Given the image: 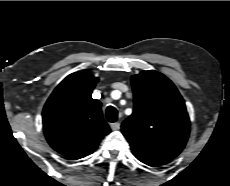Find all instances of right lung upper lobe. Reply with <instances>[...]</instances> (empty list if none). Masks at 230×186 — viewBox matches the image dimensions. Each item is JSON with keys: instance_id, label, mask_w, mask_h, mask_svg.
<instances>
[{"instance_id": "cb5924a9", "label": "right lung upper lobe", "mask_w": 230, "mask_h": 186, "mask_svg": "<svg viewBox=\"0 0 230 186\" xmlns=\"http://www.w3.org/2000/svg\"><path fill=\"white\" fill-rule=\"evenodd\" d=\"M98 78L81 72L67 76L43 109V129L50 146L69 159L91 154L110 132L101 102L91 97Z\"/></svg>"}]
</instances>
